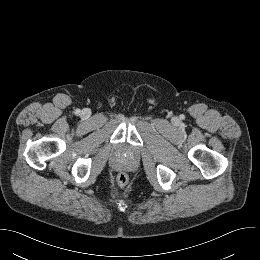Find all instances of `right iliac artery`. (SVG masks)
Wrapping results in <instances>:
<instances>
[{
  "label": "right iliac artery",
  "instance_id": "82829eb1",
  "mask_svg": "<svg viewBox=\"0 0 260 260\" xmlns=\"http://www.w3.org/2000/svg\"><path fill=\"white\" fill-rule=\"evenodd\" d=\"M79 113H80V109H76V110H75V114L78 115Z\"/></svg>",
  "mask_w": 260,
  "mask_h": 260
}]
</instances>
